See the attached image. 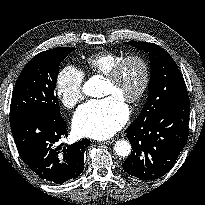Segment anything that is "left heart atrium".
Instances as JSON below:
<instances>
[{"mask_svg": "<svg viewBox=\"0 0 205 205\" xmlns=\"http://www.w3.org/2000/svg\"><path fill=\"white\" fill-rule=\"evenodd\" d=\"M128 108L116 96L91 100L75 113L73 127L77 134L105 139L114 135L127 121Z\"/></svg>", "mask_w": 205, "mask_h": 205, "instance_id": "obj_1", "label": "left heart atrium"}]
</instances>
